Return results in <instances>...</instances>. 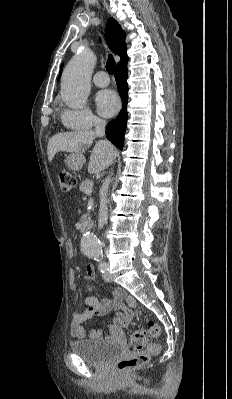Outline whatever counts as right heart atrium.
I'll return each mask as SVG.
<instances>
[{
  "mask_svg": "<svg viewBox=\"0 0 232 399\" xmlns=\"http://www.w3.org/2000/svg\"><path fill=\"white\" fill-rule=\"evenodd\" d=\"M60 116L63 124L69 129L89 130L92 128V122H101V120L88 108H84L78 111L71 109H62Z\"/></svg>",
  "mask_w": 232,
  "mask_h": 399,
  "instance_id": "right-heart-atrium-1",
  "label": "right heart atrium"
}]
</instances>
